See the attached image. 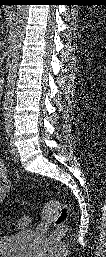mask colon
Wrapping results in <instances>:
<instances>
[{
    "instance_id": "obj_1",
    "label": "colon",
    "mask_w": 106,
    "mask_h": 257,
    "mask_svg": "<svg viewBox=\"0 0 106 257\" xmlns=\"http://www.w3.org/2000/svg\"><path fill=\"white\" fill-rule=\"evenodd\" d=\"M48 210H53V225L54 229L50 235V242H58L65 233V221L69 213V207L66 205L57 206L54 203L48 204ZM30 216L23 215L12 224L14 229H25L30 224Z\"/></svg>"
}]
</instances>
